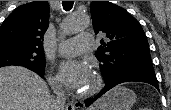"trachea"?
<instances>
[{
  "mask_svg": "<svg viewBox=\"0 0 171 110\" xmlns=\"http://www.w3.org/2000/svg\"><path fill=\"white\" fill-rule=\"evenodd\" d=\"M74 1H62L63 9L69 11L72 9Z\"/></svg>",
  "mask_w": 171,
  "mask_h": 110,
  "instance_id": "3493384b",
  "label": "trachea"
}]
</instances>
